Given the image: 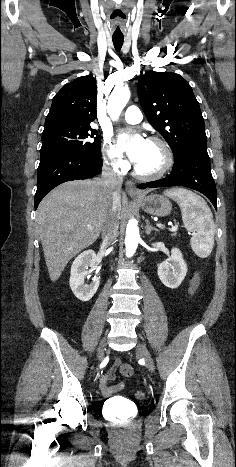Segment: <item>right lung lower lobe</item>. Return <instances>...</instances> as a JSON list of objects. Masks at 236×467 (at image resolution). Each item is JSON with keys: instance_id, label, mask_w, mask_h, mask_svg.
<instances>
[{"instance_id": "right-lung-lower-lobe-1", "label": "right lung lower lobe", "mask_w": 236, "mask_h": 467, "mask_svg": "<svg viewBox=\"0 0 236 467\" xmlns=\"http://www.w3.org/2000/svg\"><path fill=\"white\" fill-rule=\"evenodd\" d=\"M101 158L75 151L59 150L40 156L37 171L35 209L43 197L57 185L95 176L102 168Z\"/></svg>"}]
</instances>
